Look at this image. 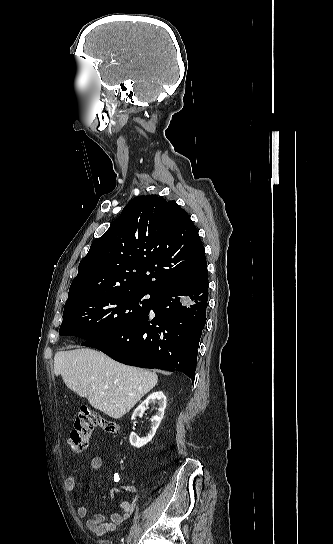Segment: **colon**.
Wrapping results in <instances>:
<instances>
[{"label": "colon", "mask_w": 333, "mask_h": 544, "mask_svg": "<svg viewBox=\"0 0 333 544\" xmlns=\"http://www.w3.org/2000/svg\"><path fill=\"white\" fill-rule=\"evenodd\" d=\"M96 428H100L109 434H116L119 431V425L116 421L104 417L97 411L82 408L69 435V444L72 451L82 453L87 448L92 432Z\"/></svg>", "instance_id": "1"}]
</instances>
